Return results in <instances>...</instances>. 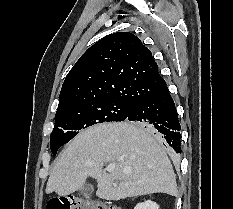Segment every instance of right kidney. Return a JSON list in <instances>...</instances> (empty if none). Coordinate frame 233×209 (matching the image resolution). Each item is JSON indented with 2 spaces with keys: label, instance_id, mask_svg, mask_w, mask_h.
<instances>
[{
  "label": "right kidney",
  "instance_id": "obj_1",
  "mask_svg": "<svg viewBox=\"0 0 233 209\" xmlns=\"http://www.w3.org/2000/svg\"><path fill=\"white\" fill-rule=\"evenodd\" d=\"M134 209H159V206L156 202L147 200L141 203H138Z\"/></svg>",
  "mask_w": 233,
  "mask_h": 209
}]
</instances>
